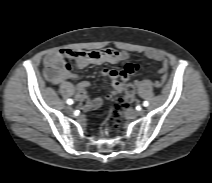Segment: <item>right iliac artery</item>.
Instances as JSON below:
<instances>
[{
    "mask_svg": "<svg viewBox=\"0 0 212 183\" xmlns=\"http://www.w3.org/2000/svg\"><path fill=\"white\" fill-rule=\"evenodd\" d=\"M67 104L72 105L73 104V100L72 99H68L67 100Z\"/></svg>",
    "mask_w": 212,
    "mask_h": 183,
    "instance_id": "1",
    "label": "right iliac artery"
}]
</instances>
